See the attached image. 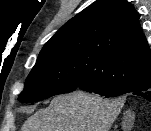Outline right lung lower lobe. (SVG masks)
<instances>
[{
    "label": "right lung lower lobe",
    "mask_w": 151,
    "mask_h": 131,
    "mask_svg": "<svg viewBox=\"0 0 151 131\" xmlns=\"http://www.w3.org/2000/svg\"><path fill=\"white\" fill-rule=\"evenodd\" d=\"M78 88L84 91L97 93L105 97H118L127 93L141 96L151 102V83L146 85L135 86L129 89L112 88L103 85H94L91 82L78 81Z\"/></svg>",
    "instance_id": "1"
}]
</instances>
